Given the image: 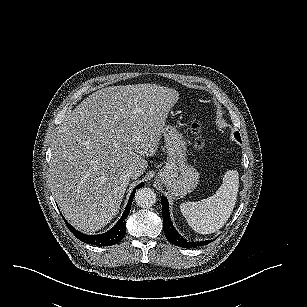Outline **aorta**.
<instances>
[{"mask_svg":"<svg viewBox=\"0 0 307 307\" xmlns=\"http://www.w3.org/2000/svg\"><path fill=\"white\" fill-rule=\"evenodd\" d=\"M136 204L141 208H149L156 203V194L151 188L143 187L135 193Z\"/></svg>","mask_w":307,"mask_h":307,"instance_id":"762f6f07","label":"aorta"}]
</instances>
